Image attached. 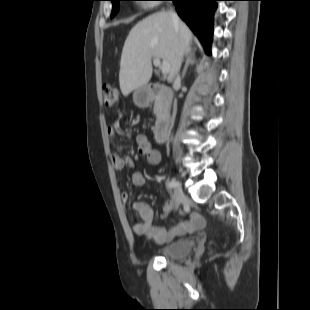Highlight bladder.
I'll list each match as a JSON object with an SVG mask.
<instances>
[{
    "instance_id": "1",
    "label": "bladder",
    "mask_w": 310,
    "mask_h": 310,
    "mask_svg": "<svg viewBox=\"0 0 310 310\" xmlns=\"http://www.w3.org/2000/svg\"><path fill=\"white\" fill-rule=\"evenodd\" d=\"M194 248L188 239L175 240L157 250V255L164 259H182L188 256Z\"/></svg>"
}]
</instances>
